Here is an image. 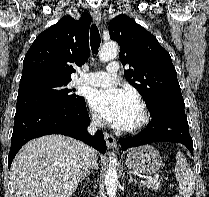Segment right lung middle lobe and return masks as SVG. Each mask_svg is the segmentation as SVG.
Here are the masks:
<instances>
[{
    "label": "right lung middle lobe",
    "instance_id": "obj_1",
    "mask_svg": "<svg viewBox=\"0 0 209 197\" xmlns=\"http://www.w3.org/2000/svg\"><path fill=\"white\" fill-rule=\"evenodd\" d=\"M71 80H42L19 85L16 111L44 104L75 103L83 100L67 87Z\"/></svg>",
    "mask_w": 209,
    "mask_h": 197
}]
</instances>
